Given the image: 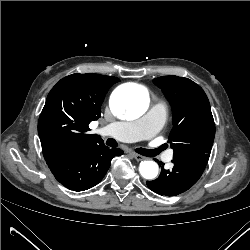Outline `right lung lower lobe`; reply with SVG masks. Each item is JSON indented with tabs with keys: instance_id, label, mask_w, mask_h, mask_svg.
Here are the masks:
<instances>
[{
	"instance_id": "1",
	"label": "right lung lower lobe",
	"mask_w": 250,
	"mask_h": 250,
	"mask_svg": "<svg viewBox=\"0 0 250 250\" xmlns=\"http://www.w3.org/2000/svg\"><path fill=\"white\" fill-rule=\"evenodd\" d=\"M122 154L120 149L111 150L104 143H98L46 162L62 185L73 191H84L98 184L108 171L111 160Z\"/></svg>"
}]
</instances>
